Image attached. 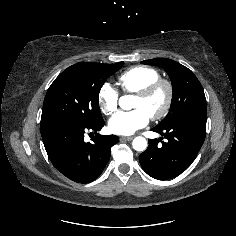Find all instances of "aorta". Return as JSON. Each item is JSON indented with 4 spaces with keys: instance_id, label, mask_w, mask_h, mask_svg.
Here are the masks:
<instances>
[{
    "instance_id": "762f6f07",
    "label": "aorta",
    "mask_w": 236,
    "mask_h": 236,
    "mask_svg": "<svg viewBox=\"0 0 236 236\" xmlns=\"http://www.w3.org/2000/svg\"><path fill=\"white\" fill-rule=\"evenodd\" d=\"M128 99H129L128 96L121 97L120 101H119L120 105L123 107L125 102ZM132 146H133V149L136 150V151H139V152L144 151V150H146V148L148 146L147 145V140L142 136L135 137L133 142H132Z\"/></svg>"
}]
</instances>
